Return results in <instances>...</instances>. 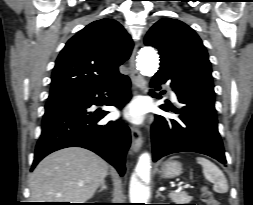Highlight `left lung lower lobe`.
Here are the masks:
<instances>
[{
    "label": "left lung lower lobe",
    "mask_w": 253,
    "mask_h": 205,
    "mask_svg": "<svg viewBox=\"0 0 253 205\" xmlns=\"http://www.w3.org/2000/svg\"><path fill=\"white\" fill-rule=\"evenodd\" d=\"M167 80H171L180 109L169 104H163L160 108L179 116L171 119L156 115L152 125L153 161L171 153L197 152L225 164L224 148L217 128L215 98L194 87L170 67L160 65L153 77L152 86L160 89L158 84ZM151 95L156 97L154 92Z\"/></svg>",
    "instance_id": "obj_1"
}]
</instances>
